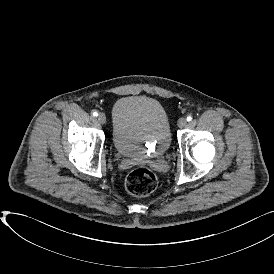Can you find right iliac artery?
<instances>
[{"label":"right iliac artery","mask_w":274,"mask_h":274,"mask_svg":"<svg viewBox=\"0 0 274 274\" xmlns=\"http://www.w3.org/2000/svg\"><path fill=\"white\" fill-rule=\"evenodd\" d=\"M93 116H98V112L94 111Z\"/></svg>","instance_id":"1"}]
</instances>
